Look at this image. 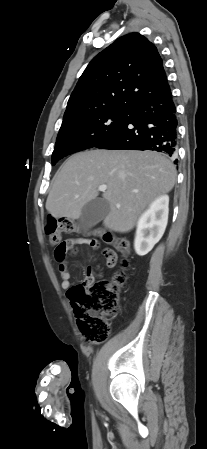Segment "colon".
<instances>
[{
	"label": "colon",
	"mask_w": 207,
	"mask_h": 449,
	"mask_svg": "<svg viewBox=\"0 0 207 449\" xmlns=\"http://www.w3.org/2000/svg\"><path fill=\"white\" fill-rule=\"evenodd\" d=\"M44 230L49 242L55 245V259L60 265H66L68 253H76L78 244L73 240L62 241L61 234L80 232L92 236L85 240V243L92 247L98 246L99 239L112 244L115 250L125 257L123 266L129 265L127 257L131 253V245L127 238L114 236L101 228L82 231L76 222L69 219L49 220L45 224ZM103 254L106 265L113 266L115 264L114 251L107 248ZM126 279V275L120 271L114 275L111 281L84 280L68 289L67 297L74 308L79 329L89 342H101L109 337L111 332L109 321L118 314L119 291Z\"/></svg>",
	"instance_id": "5ec220e1"
}]
</instances>
